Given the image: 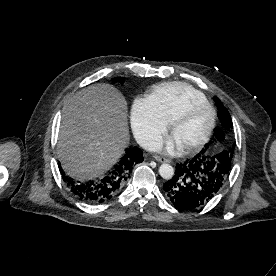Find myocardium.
Returning a JSON list of instances; mask_svg holds the SVG:
<instances>
[{
  "mask_svg": "<svg viewBox=\"0 0 276 276\" xmlns=\"http://www.w3.org/2000/svg\"><path fill=\"white\" fill-rule=\"evenodd\" d=\"M203 104L205 105L210 111V122L208 125L207 130L205 131L204 135L199 139L197 142L185 147L187 152H195L200 150L210 139L213 129L216 122V110L214 106L207 100V99H193L189 101L183 109H181L177 114L173 116L170 120V130L173 132L176 125L182 121L191 111V109L198 105Z\"/></svg>",
  "mask_w": 276,
  "mask_h": 276,
  "instance_id": "1",
  "label": "myocardium"
}]
</instances>
